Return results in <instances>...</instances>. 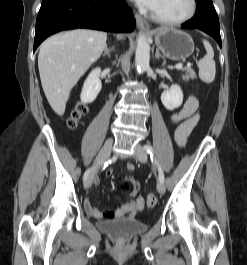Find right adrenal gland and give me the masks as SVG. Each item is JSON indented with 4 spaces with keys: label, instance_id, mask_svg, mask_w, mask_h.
I'll return each instance as SVG.
<instances>
[{
    "label": "right adrenal gland",
    "instance_id": "2a0ac1e0",
    "mask_svg": "<svg viewBox=\"0 0 247 265\" xmlns=\"http://www.w3.org/2000/svg\"><path fill=\"white\" fill-rule=\"evenodd\" d=\"M114 49L113 48H109L107 45L105 46V49H104V53H103V56L107 55L108 57H110V52L113 51Z\"/></svg>",
    "mask_w": 247,
    "mask_h": 265
}]
</instances>
